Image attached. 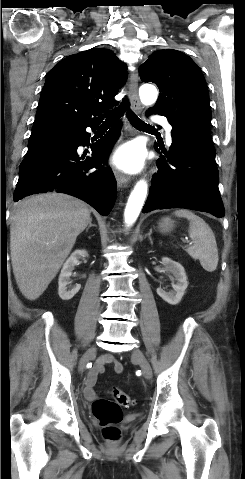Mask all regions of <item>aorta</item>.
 Segmentation results:
<instances>
[{"instance_id":"obj_1","label":"aorta","mask_w":245,"mask_h":479,"mask_svg":"<svg viewBox=\"0 0 245 479\" xmlns=\"http://www.w3.org/2000/svg\"><path fill=\"white\" fill-rule=\"evenodd\" d=\"M139 95L143 104L152 105L157 100L158 92L152 85H143L139 89ZM146 195L147 183L145 180H140L131 192L125 208L124 222L127 227L132 226L137 220L146 199Z\"/></svg>"}]
</instances>
